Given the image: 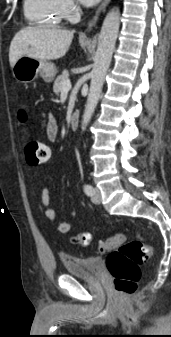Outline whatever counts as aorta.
<instances>
[{
    "mask_svg": "<svg viewBox=\"0 0 171 337\" xmlns=\"http://www.w3.org/2000/svg\"><path fill=\"white\" fill-rule=\"evenodd\" d=\"M120 26V12L114 8L106 15L98 40L95 62L91 71V83L82 119L84 129L91 120L99 101L104 79L111 63Z\"/></svg>",
    "mask_w": 171,
    "mask_h": 337,
    "instance_id": "obj_1",
    "label": "aorta"
}]
</instances>
